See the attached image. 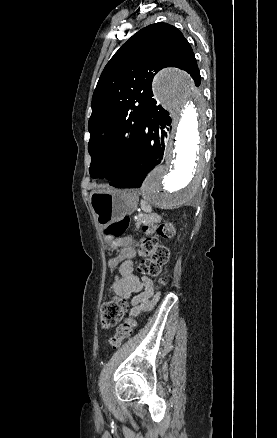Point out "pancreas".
<instances>
[{
	"mask_svg": "<svg viewBox=\"0 0 277 438\" xmlns=\"http://www.w3.org/2000/svg\"><path fill=\"white\" fill-rule=\"evenodd\" d=\"M132 222L141 223V225H146V223H157L159 221V216L157 214H134L131 217Z\"/></svg>",
	"mask_w": 277,
	"mask_h": 438,
	"instance_id": "cf45deb5",
	"label": "pancreas"
}]
</instances>
